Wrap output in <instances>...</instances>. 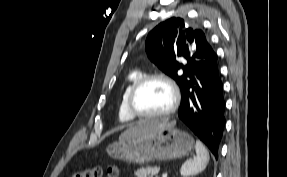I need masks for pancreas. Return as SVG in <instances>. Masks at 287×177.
<instances>
[{"label":"pancreas","instance_id":"obj_1","mask_svg":"<svg viewBox=\"0 0 287 177\" xmlns=\"http://www.w3.org/2000/svg\"><path fill=\"white\" fill-rule=\"evenodd\" d=\"M159 167H142L135 172L137 177H153L158 174Z\"/></svg>","mask_w":287,"mask_h":177}]
</instances>
